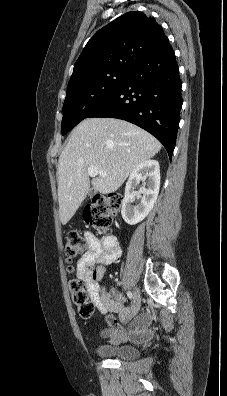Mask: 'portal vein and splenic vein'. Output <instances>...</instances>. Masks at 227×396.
Wrapping results in <instances>:
<instances>
[{
	"instance_id": "portal-vein-and-splenic-vein-1",
	"label": "portal vein and splenic vein",
	"mask_w": 227,
	"mask_h": 396,
	"mask_svg": "<svg viewBox=\"0 0 227 396\" xmlns=\"http://www.w3.org/2000/svg\"><path fill=\"white\" fill-rule=\"evenodd\" d=\"M88 174L91 177H95L97 175H99L101 177H105L106 176V172H104L102 170H98V168H96L95 166H89L88 167Z\"/></svg>"
}]
</instances>
